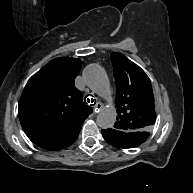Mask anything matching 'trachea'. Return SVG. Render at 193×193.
Here are the masks:
<instances>
[{"label": "trachea", "instance_id": "trachea-1", "mask_svg": "<svg viewBox=\"0 0 193 193\" xmlns=\"http://www.w3.org/2000/svg\"><path fill=\"white\" fill-rule=\"evenodd\" d=\"M89 95H86L85 96V103H93V104H91V106H94L95 104H96V100L95 99H93V98H91V99H89V98H87ZM87 98V99H86Z\"/></svg>", "mask_w": 193, "mask_h": 193}]
</instances>
